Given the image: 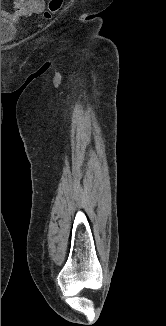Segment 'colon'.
<instances>
[{
	"label": "colon",
	"instance_id": "5ec220e1",
	"mask_svg": "<svg viewBox=\"0 0 166 326\" xmlns=\"http://www.w3.org/2000/svg\"><path fill=\"white\" fill-rule=\"evenodd\" d=\"M64 0H50L47 9L43 16L46 19H51L62 7Z\"/></svg>",
	"mask_w": 166,
	"mask_h": 326
}]
</instances>
